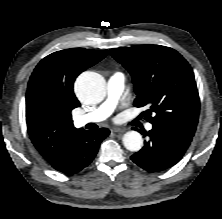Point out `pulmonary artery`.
Here are the masks:
<instances>
[{"mask_svg":"<svg viewBox=\"0 0 222 219\" xmlns=\"http://www.w3.org/2000/svg\"><path fill=\"white\" fill-rule=\"evenodd\" d=\"M125 78L120 72H115L108 78L107 81V98L97 108L92 111L76 115L73 117L75 126L81 127L89 123H98L107 119L114 111L117 102L124 90ZM147 130L152 129V124H147Z\"/></svg>","mask_w":222,"mask_h":219,"instance_id":"pulmonary-artery-1","label":"pulmonary artery"}]
</instances>
